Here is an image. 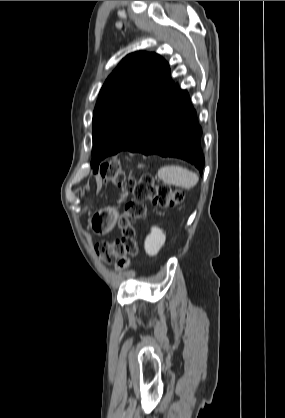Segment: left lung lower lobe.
Returning a JSON list of instances; mask_svg holds the SVG:
<instances>
[{"mask_svg": "<svg viewBox=\"0 0 285 418\" xmlns=\"http://www.w3.org/2000/svg\"><path fill=\"white\" fill-rule=\"evenodd\" d=\"M201 134L189 94L174 84L123 150L180 158L202 171ZM107 156L104 152L99 157L103 160Z\"/></svg>", "mask_w": 285, "mask_h": 418, "instance_id": "0a47b994", "label": "left lung lower lobe"}]
</instances>
